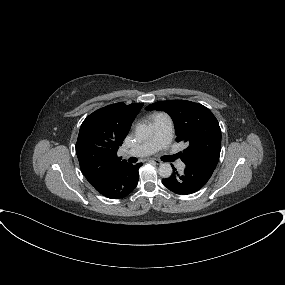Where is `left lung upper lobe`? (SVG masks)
<instances>
[{
    "label": "left lung upper lobe",
    "mask_w": 285,
    "mask_h": 285,
    "mask_svg": "<svg viewBox=\"0 0 285 285\" xmlns=\"http://www.w3.org/2000/svg\"><path fill=\"white\" fill-rule=\"evenodd\" d=\"M154 109L168 113L175 125L176 141L187 142L188 147L181 153L185 164L200 160L219 161L221 129L208 108L186 100H170L146 107V110Z\"/></svg>",
    "instance_id": "obj_1"
}]
</instances>
